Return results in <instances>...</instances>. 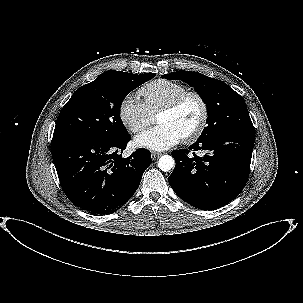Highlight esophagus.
Returning <instances> with one entry per match:
<instances>
[{
    "mask_svg": "<svg viewBox=\"0 0 303 303\" xmlns=\"http://www.w3.org/2000/svg\"><path fill=\"white\" fill-rule=\"evenodd\" d=\"M151 156H152V159L155 160V159H157L159 156H161V153L152 152V153H151Z\"/></svg>",
    "mask_w": 303,
    "mask_h": 303,
    "instance_id": "esophagus-1",
    "label": "esophagus"
}]
</instances>
